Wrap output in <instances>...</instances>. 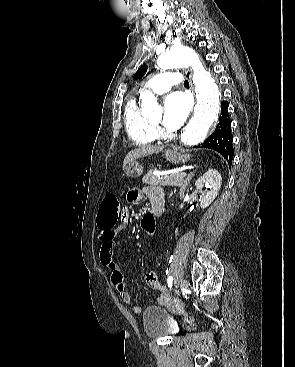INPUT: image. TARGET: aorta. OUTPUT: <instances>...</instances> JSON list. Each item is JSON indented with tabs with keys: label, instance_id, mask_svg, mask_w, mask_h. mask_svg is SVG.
<instances>
[{
	"label": "aorta",
	"instance_id": "1",
	"mask_svg": "<svg viewBox=\"0 0 295 367\" xmlns=\"http://www.w3.org/2000/svg\"><path fill=\"white\" fill-rule=\"evenodd\" d=\"M161 69L193 68V84L197 95L194 116L181 133V142L193 146L203 142L212 128L220 110V91L211 74L203 67L198 55L192 49L179 46L162 53L157 60ZM161 107L150 92L142 96V115L150 117L160 114Z\"/></svg>",
	"mask_w": 295,
	"mask_h": 367
}]
</instances>
